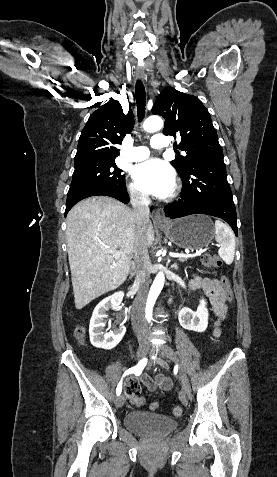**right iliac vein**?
<instances>
[{
	"mask_svg": "<svg viewBox=\"0 0 277 477\" xmlns=\"http://www.w3.org/2000/svg\"><path fill=\"white\" fill-rule=\"evenodd\" d=\"M149 351V346L145 341L140 342L138 350H137V358L141 359L144 358ZM124 395L121 394L115 399V405L117 407H122L124 404Z\"/></svg>",
	"mask_w": 277,
	"mask_h": 477,
	"instance_id": "63e3f726",
	"label": "right iliac vein"
}]
</instances>
